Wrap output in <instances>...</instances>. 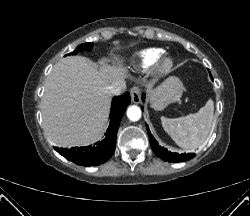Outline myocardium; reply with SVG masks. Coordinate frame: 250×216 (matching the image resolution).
Listing matches in <instances>:
<instances>
[{
    "mask_svg": "<svg viewBox=\"0 0 250 216\" xmlns=\"http://www.w3.org/2000/svg\"><path fill=\"white\" fill-rule=\"evenodd\" d=\"M173 68V60L170 57L162 56L155 63L154 71L157 76L168 74Z\"/></svg>",
    "mask_w": 250,
    "mask_h": 216,
    "instance_id": "f54148a6",
    "label": "myocardium"
}]
</instances>
